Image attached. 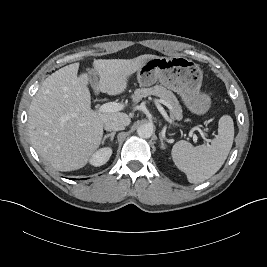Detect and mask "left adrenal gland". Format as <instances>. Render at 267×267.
<instances>
[{
    "instance_id": "1",
    "label": "left adrenal gland",
    "mask_w": 267,
    "mask_h": 267,
    "mask_svg": "<svg viewBox=\"0 0 267 267\" xmlns=\"http://www.w3.org/2000/svg\"><path fill=\"white\" fill-rule=\"evenodd\" d=\"M160 144H161V148L164 149L165 148V145H164V137H163V134L161 133L160 134Z\"/></svg>"
}]
</instances>
